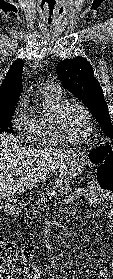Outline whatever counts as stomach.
I'll use <instances>...</instances> for the list:
<instances>
[{"label":"stomach","instance_id":"stomach-1","mask_svg":"<svg viewBox=\"0 0 113 279\" xmlns=\"http://www.w3.org/2000/svg\"><path fill=\"white\" fill-rule=\"evenodd\" d=\"M88 156L81 151H72L69 158L60 167V178L67 182L82 174L85 165L89 164Z\"/></svg>","mask_w":113,"mask_h":279}]
</instances>
